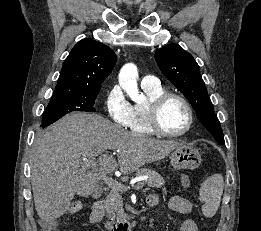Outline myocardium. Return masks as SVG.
<instances>
[{
	"instance_id": "1",
	"label": "myocardium",
	"mask_w": 261,
	"mask_h": 231,
	"mask_svg": "<svg viewBox=\"0 0 261 231\" xmlns=\"http://www.w3.org/2000/svg\"><path fill=\"white\" fill-rule=\"evenodd\" d=\"M172 98H176L180 100L183 105L186 108L187 115H188V123L186 127L179 131V132H168L163 129L160 123V112L163 107V105ZM147 115H148V123L152 130L162 136H167V137H180L189 132L193 126L194 123V113L192 106L190 102L181 94L174 93V92H164L163 94L159 95L156 97L154 100H152L148 104V109H147Z\"/></svg>"
}]
</instances>
